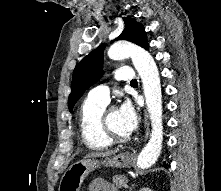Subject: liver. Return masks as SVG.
Instances as JSON below:
<instances>
[{"label":"liver","instance_id":"1","mask_svg":"<svg viewBox=\"0 0 221 191\" xmlns=\"http://www.w3.org/2000/svg\"><path fill=\"white\" fill-rule=\"evenodd\" d=\"M119 150H111V151H107V152H96V153H91L85 156V158H91V157H107L110 155H114L115 153H117Z\"/></svg>","mask_w":221,"mask_h":191}]
</instances>
